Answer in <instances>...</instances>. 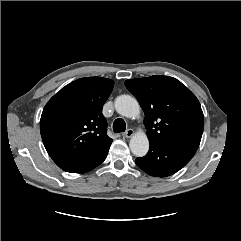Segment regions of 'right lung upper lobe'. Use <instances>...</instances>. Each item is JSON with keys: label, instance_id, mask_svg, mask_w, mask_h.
I'll return each mask as SVG.
<instances>
[{"label": "right lung upper lobe", "instance_id": "right-lung-upper-lobe-1", "mask_svg": "<svg viewBox=\"0 0 241 241\" xmlns=\"http://www.w3.org/2000/svg\"><path fill=\"white\" fill-rule=\"evenodd\" d=\"M114 81L80 78L63 87L43 109L40 132L44 146L59 166L94 154L112 142L102 107Z\"/></svg>", "mask_w": 241, "mask_h": 241}]
</instances>
